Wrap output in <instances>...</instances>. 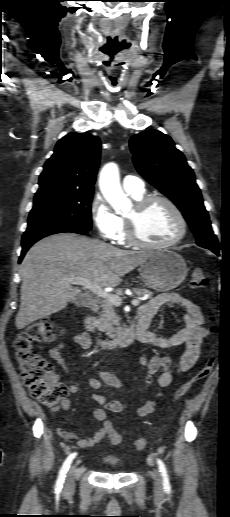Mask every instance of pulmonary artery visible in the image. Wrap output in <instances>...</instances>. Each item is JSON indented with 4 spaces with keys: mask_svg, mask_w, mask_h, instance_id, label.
<instances>
[{
    "mask_svg": "<svg viewBox=\"0 0 230 517\" xmlns=\"http://www.w3.org/2000/svg\"><path fill=\"white\" fill-rule=\"evenodd\" d=\"M122 186L123 189L129 194L138 195L145 191L142 179L132 175H128L123 178Z\"/></svg>",
    "mask_w": 230,
    "mask_h": 517,
    "instance_id": "obj_1",
    "label": "pulmonary artery"
}]
</instances>
